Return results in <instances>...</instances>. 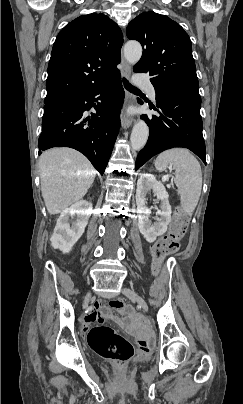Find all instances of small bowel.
<instances>
[{
    "label": "small bowel",
    "instance_id": "obj_1",
    "mask_svg": "<svg viewBox=\"0 0 243 404\" xmlns=\"http://www.w3.org/2000/svg\"><path fill=\"white\" fill-rule=\"evenodd\" d=\"M100 308H101L100 304L96 302L93 305L92 309L84 316V318L82 319L83 332H87L90 324L102 318Z\"/></svg>",
    "mask_w": 243,
    "mask_h": 404
}]
</instances>
